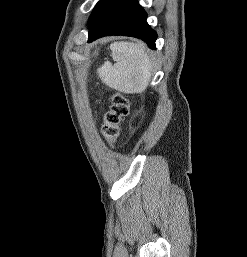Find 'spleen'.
<instances>
[{
  "mask_svg": "<svg viewBox=\"0 0 247 257\" xmlns=\"http://www.w3.org/2000/svg\"><path fill=\"white\" fill-rule=\"evenodd\" d=\"M112 58L97 70L102 82L124 93L142 92L151 78V63L143 43L115 42L110 45Z\"/></svg>",
  "mask_w": 247,
  "mask_h": 257,
  "instance_id": "obj_1",
  "label": "spleen"
}]
</instances>
